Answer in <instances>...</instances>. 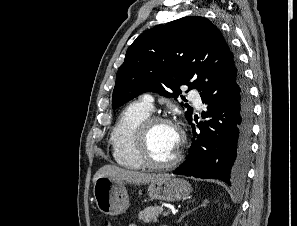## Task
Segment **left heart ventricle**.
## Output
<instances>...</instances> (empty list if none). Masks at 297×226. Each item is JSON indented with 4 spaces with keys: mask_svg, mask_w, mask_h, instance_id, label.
<instances>
[{
    "mask_svg": "<svg viewBox=\"0 0 297 226\" xmlns=\"http://www.w3.org/2000/svg\"><path fill=\"white\" fill-rule=\"evenodd\" d=\"M179 143L178 130L166 123L156 124L149 134L148 146L152 158L158 162L171 159Z\"/></svg>",
    "mask_w": 297,
    "mask_h": 226,
    "instance_id": "obj_1",
    "label": "left heart ventricle"
}]
</instances>
